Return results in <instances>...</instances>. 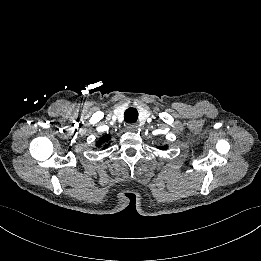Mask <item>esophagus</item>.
I'll use <instances>...</instances> for the list:
<instances>
[{
    "label": "esophagus",
    "mask_w": 261,
    "mask_h": 261,
    "mask_svg": "<svg viewBox=\"0 0 261 261\" xmlns=\"http://www.w3.org/2000/svg\"><path fill=\"white\" fill-rule=\"evenodd\" d=\"M137 127H138V126H137L136 123H128V124L126 125V128H127V130H129V131H134V130H136Z\"/></svg>",
    "instance_id": "obj_1"
}]
</instances>
